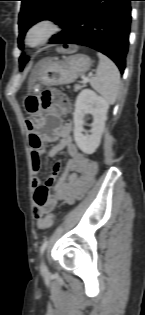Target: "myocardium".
I'll return each instance as SVG.
<instances>
[{"label": "myocardium", "mask_w": 145, "mask_h": 315, "mask_svg": "<svg viewBox=\"0 0 145 315\" xmlns=\"http://www.w3.org/2000/svg\"><path fill=\"white\" fill-rule=\"evenodd\" d=\"M58 32L59 27L55 21L41 18L28 27L24 41L26 46L37 48L49 42Z\"/></svg>", "instance_id": "f54148a6"}]
</instances>
